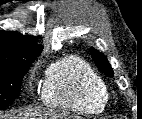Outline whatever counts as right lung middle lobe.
Listing matches in <instances>:
<instances>
[{
    "label": "right lung middle lobe",
    "instance_id": "dd1d6c3e",
    "mask_svg": "<svg viewBox=\"0 0 142 119\" xmlns=\"http://www.w3.org/2000/svg\"><path fill=\"white\" fill-rule=\"evenodd\" d=\"M34 60L0 66V109L12 103L20 95L22 78Z\"/></svg>",
    "mask_w": 142,
    "mask_h": 119
}]
</instances>
